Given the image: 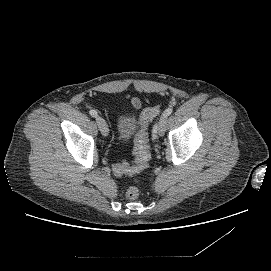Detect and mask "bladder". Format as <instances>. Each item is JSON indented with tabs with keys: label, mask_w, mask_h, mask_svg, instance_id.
<instances>
[{
	"label": "bladder",
	"mask_w": 271,
	"mask_h": 271,
	"mask_svg": "<svg viewBox=\"0 0 271 271\" xmlns=\"http://www.w3.org/2000/svg\"><path fill=\"white\" fill-rule=\"evenodd\" d=\"M137 127V118L135 114L126 112L120 113L116 118L115 131L117 139L125 143L127 142Z\"/></svg>",
	"instance_id": "1"
}]
</instances>
